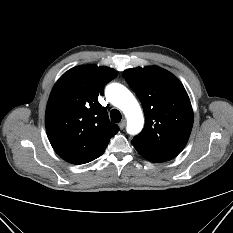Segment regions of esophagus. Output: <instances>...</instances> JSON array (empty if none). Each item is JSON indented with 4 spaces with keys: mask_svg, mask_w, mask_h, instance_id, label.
I'll return each mask as SVG.
<instances>
[{
    "mask_svg": "<svg viewBox=\"0 0 233 233\" xmlns=\"http://www.w3.org/2000/svg\"><path fill=\"white\" fill-rule=\"evenodd\" d=\"M118 126L120 127V129H124V127L126 126V120H122Z\"/></svg>",
    "mask_w": 233,
    "mask_h": 233,
    "instance_id": "esophagus-1",
    "label": "esophagus"
}]
</instances>
